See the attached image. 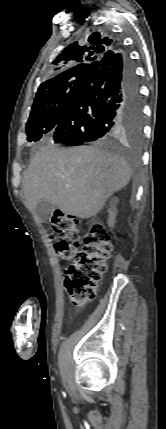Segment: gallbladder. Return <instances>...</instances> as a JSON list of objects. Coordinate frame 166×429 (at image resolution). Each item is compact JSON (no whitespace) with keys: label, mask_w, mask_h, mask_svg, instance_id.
Listing matches in <instances>:
<instances>
[{"label":"gallbladder","mask_w":166,"mask_h":429,"mask_svg":"<svg viewBox=\"0 0 166 429\" xmlns=\"http://www.w3.org/2000/svg\"><path fill=\"white\" fill-rule=\"evenodd\" d=\"M54 210L55 205L44 200L40 201L34 208L35 213L43 223H47L50 220Z\"/></svg>","instance_id":"gallbladder-1"}]
</instances>
